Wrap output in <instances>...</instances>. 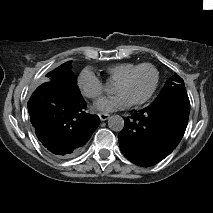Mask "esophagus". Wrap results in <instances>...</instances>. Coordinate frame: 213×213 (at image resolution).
Segmentation results:
<instances>
[{
    "label": "esophagus",
    "mask_w": 213,
    "mask_h": 213,
    "mask_svg": "<svg viewBox=\"0 0 213 213\" xmlns=\"http://www.w3.org/2000/svg\"><path fill=\"white\" fill-rule=\"evenodd\" d=\"M109 114H106V113H100L99 114V117H100V119H101V121H105V120H107L108 118H109Z\"/></svg>",
    "instance_id": "1"
}]
</instances>
